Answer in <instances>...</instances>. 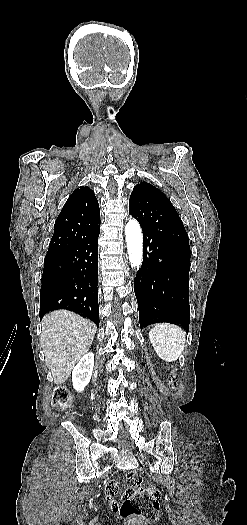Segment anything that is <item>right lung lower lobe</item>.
Instances as JSON below:
<instances>
[{"mask_svg": "<svg viewBox=\"0 0 247 525\" xmlns=\"http://www.w3.org/2000/svg\"><path fill=\"white\" fill-rule=\"evenodd\" d=\"M96 231L70 248L45 257L40 289V319L66 309L99 326L98 237Z\"/></svg>", "mask_w": 247, "mask_h": 525, "instance_id": "1", "label": "right lung lower lobe"}]
</instances>
